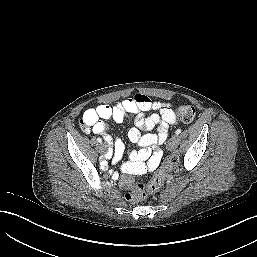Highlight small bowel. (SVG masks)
<instances>
[{"label":"small bowel","mask_w":257,"mask_h":257,"mask_svg":"<svg viewBox=\"0 0 257 257\" xmlns=\"http://www.w3.org/2000/svg\"><path fill=\"white\" fill-rule=\"evenodd\" d=\"M152 112L145 116V113ZM131 117L134 126L128 132L129 140L137 144L140 149L131 153L132 162L124 166L130 173H144L154 170L160 163L162 151L157 148L165 142L169 127L177 124V117L169 103L152 101L149 97L136 94L126 98L116 105L100 104L87 109L81 119V128L84 132L102 135L110 146L108 157L114 164L125 155V147L119 139H112L108 134L107 120L123 122ZM156 129V133H145Z\"/></svg>","instance_id":"small-bowel-1"}]
</instances>
